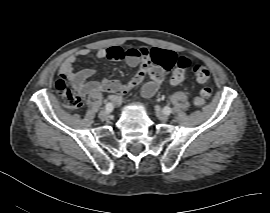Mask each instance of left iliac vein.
I'll use <instances>...</instances> for the list:
<instances>
[{
  "mask_svg": "<svg viewBox=\"0 0 270 213\" xmlns=\"http://www.w3.org/2000/svg\"><path fill=\"white\" fill-rule=\"evenodd\" d=\"M156 116L161 121L166 122L168 120V116L159 108L156 109Z\"/></svg>",
  "mask_w": 270,
  "mask_h": 213,
  "instance_id": "4c4485c4",
  "label": "left iliac vein"
}]
</instances>
